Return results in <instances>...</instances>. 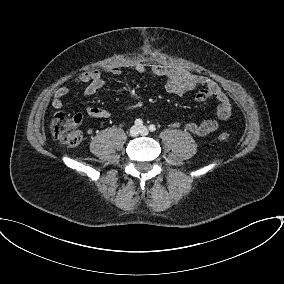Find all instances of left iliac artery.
<instances>
[{
    "instance_id": "44dca946",
    "label": "left iliac artery",
    "mask_w": 284,
    "mask_h": 284,
    "mask_svg": "<svg viewBox=\"0 0 284 284\" xmlns=\"http://www.w3.org/2000/svg\"><path fill=\"white\" fill-rule=\"evenodd\" d=\"M149 130H150L151 132H154V131L156 130L155 125L151 124V125L149 126Z\"/></svg>"
}]
</instances>
